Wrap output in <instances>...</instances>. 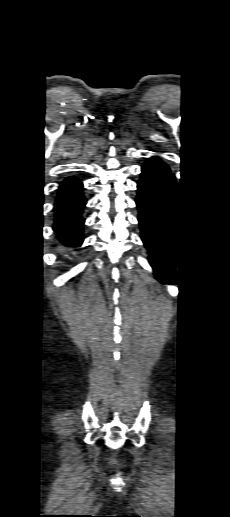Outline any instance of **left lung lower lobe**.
Segmentation results:
<instances>
[{"mask_svg":"<svg viewBox=\"0 0 230 517\" xmlns=\"http://www.w3.org/2000/svg\"><path fill=\"white\" fill-rule=\"evenodd\" d=\"M136 204L141 238L151 252L150 263L161 282L176 274L177 183L168 166L156 157L142 166Z\"/></svg>","mask_w":230,"mask_h":517,"instance_id":"left-lung-lower-lobe-1","label":"left lung lower lobe"}]
</instances>
